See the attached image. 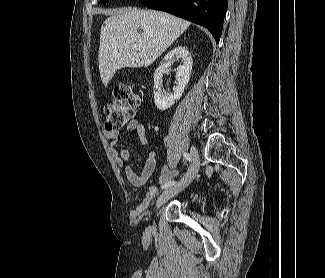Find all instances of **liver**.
I'll return each mask as SVG.
<instances>
[{"instance_id": "obj_1", "label": "liver", "mask_w": 325, "mask_h": 278, "mask_svg": "<svg viewBox=\"0 0 325 278\" xmlns=\"http://www.w3.org/2000/svg\"><path fill=\"white\" fill-rule=\"evenodd\" d=\"M100 31L99 71L105 87L118 69L151 65L189 26L166 12L116 9ZM139 45V49L133 46Z\"/></svg>"}]
</instances>
